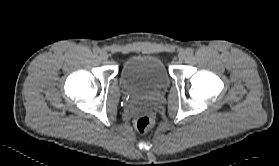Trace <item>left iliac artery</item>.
I'll return each instance as SVG.
<instances>
[{"label":"left iliac artery","mask_w":279,"mask_h":166,"mask_svg":"<svg viewBox=\"0 0 279 166\" xmlns=\"http://www.w3.org/2000/svg\"><path fill=\"white\" fill-rule=\"evenodd\" d=\"M193 49L192 48H187L186 49V53L188 54V55H192L193 54Z\"/></svg>","instance_id":"left-iliac-artery-1"}]
</instances>
